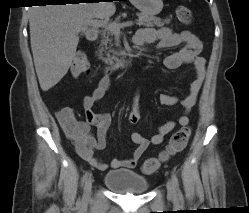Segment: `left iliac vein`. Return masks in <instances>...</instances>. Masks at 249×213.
Returning <instances> with one entry per match:
<instances>
[{
    "label": "left iliac vein",
    "instance_id": "obj_1",
    "mask_svg": "<svg viewBox=\"0 0 249 213\" xmlns=\"http://www.w3.org/2000/svg\"><path fill=\"white\" fill-rule=\"evenodd\" d=\"M166 187H167L168 196L174 197V195H175V188H174V184H173V182L171 180L167 181Z\"/></svg>",
    "mask_w": 249,
    "mask_h": 213
}]
</instances>
